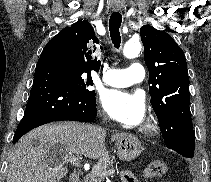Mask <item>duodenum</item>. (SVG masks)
I'll return each mask as SVG.
<instances>
[{
    "label": "duodenum",
    "mask_w": 211,
    "mask_h": 182,
    "mask_svg": "<svg viewBox=\"0 0 211 182\" xmlns=\"http://www.w3.org/2000/svg\"><path fill=\"white\" fill-rule=\"evenodd\" d=\"M69 182H81V174L74 172L69 177Z\"/></svg>",
    "instance_id": "1"
}]
</instances>
